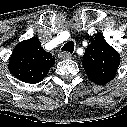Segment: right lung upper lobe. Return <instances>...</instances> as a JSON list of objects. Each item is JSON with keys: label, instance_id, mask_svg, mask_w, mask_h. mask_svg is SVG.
Returning <instances> with one entry per match:
<instances>
[{"label": "right lung upper lobe", "instance_id": "cb5924a9", "mask_svg": "<svg viewBox=\"0 0 127 127\" xmlns=\"http://www.w3.org/2000/svg\"><path fill=\"white\" fill-rule=\"evenodd\" d=\"M55 64V57L46 52L39 39L33 37L16 45L9 60L8 69L17 79L26 83H38Z\"/></svg>", "mask_w": 127, "mask_h": 127}]
</instances>
